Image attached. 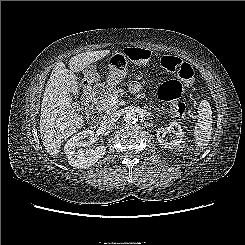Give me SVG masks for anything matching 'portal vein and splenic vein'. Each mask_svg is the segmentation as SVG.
I'll list each match as a JSON object with an SVG mask.
<instances>
[{"label": "portal vein and splenic vein", "mask_w": 245, "mask_h": 245, "mask_svg": "<svg viewBox=\"0 0 245 245\" xmlns=\"http://www.w3.org/2000/svg\"><path fill=\"white\" fill-rule=\"evenodd\" d=\"M118 103V98L117 97H112L111 98V105H116Z\"/></svg>", "instance_id": "1"}]
</instances>
